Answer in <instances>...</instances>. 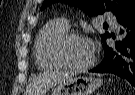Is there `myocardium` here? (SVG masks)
<instances>
[{"mask_svg": "<svg viewBox=\"0 0 135 95\" xmlns=\"http://www.w3.org/2000/svg\"><path fill=\"white\" fill-rule=\"evenodd\" d=\"M74 38H86V37L84 34L78 31H67L62 36H60L59 39L56 41L54 45V56L56 60L62 65V67L72 70L87 69L94 64L96 60L95 54L92 55V58L88 62L80 65L70 63L64 55V49L66 44Z\"/></svg>", "mask_w": 135, "mask_h": 95, "instance_id": "obj_1", "label": "myocardium"}]
</instances>
